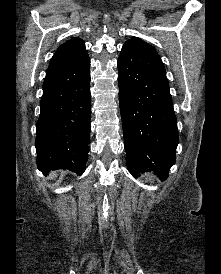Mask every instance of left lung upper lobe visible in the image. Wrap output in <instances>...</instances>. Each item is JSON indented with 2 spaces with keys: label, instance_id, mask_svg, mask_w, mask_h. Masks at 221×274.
<instances>
[{
  "label": "left lung upper lobe",
  "instance_id": "left-lung-upper-lobe-1",
  "mask_svg": "<svg viewBox=\"0 0 221 274\" xmlns=\"http://www.w3.org/2000/svg\"><path fill=\"white\" fill-rule=\"evenodd\" d=\"M126 42L131 43V44L137 46L138 48L144 50L145 52H147V53H149V54H151L155 57L160 58L159 54L157 53V51L155 50V48L153 46H151L150 44L142 41L139 38L133 37L132 39L127 40Z\"/></svg>",
  "mask_w": 221,
  "mask_h": 274
}]
</instances>
